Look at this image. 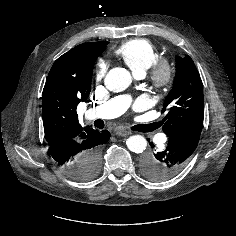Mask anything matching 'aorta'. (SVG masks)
Here are the masks:
<instances>
[{
	"label": "aorta",
	"instance_id": "obj_1",
	"mask_svg": "<svg viewBox=\"0 0 236 236\" xmlns=\"http://www.w3.org/2000/svg\"><path fill=\"white\" fill-rule=\"evenodd\" d=\"M131 84V74L125 68L111 69L105 77L106 87L113 92L124 91ZM127 147L134 153H142L147 147V140L141 135H133L126 141Z\"/></svg>",
	"mask_w": 236,
	"mask_h": 236
}]
</instances>
